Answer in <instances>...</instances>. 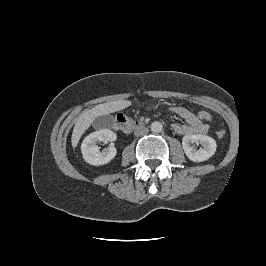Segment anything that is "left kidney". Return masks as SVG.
I'll return each mask as SVG.
<instances>
[{
    "label": "left kidney",
    "instance_id": "5707ae66",
    "mask_svg": "<svg viewBox=\"0 0 266 266\" xmlns=\"http://www.w3.org/2000/svg\"><path fill=\"white\" fill-rule=\"evenodd\" d=\"M193 143H199L202 148L196 149ZM182 146L186 156L193 162H202L212 157L216 151V141L206 135L195 134L183 137Z\"/></svg>",
    "mask_w": 266,
    "mask_h": 266
}]
</instances>
